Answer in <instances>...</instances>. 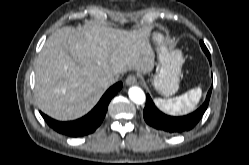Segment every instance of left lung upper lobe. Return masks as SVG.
<instances>
[{
	"label": "left lung upper lobe",
	"mask_w": 249,
	"mask_h": 165,
	"mask_svg": "<svg viewBox=\"0 0 249 165\" xmlns=\"http://www.w3.org/2000/svg\"><path fill=\"white\" fill-rule=\"evenodd\" d=\"M200 45H201L202 50L205 52L206 56L208 57V59L209 58L211 59L210 53L208 49L206 48L205 44L203 43V41H200Z\"/></svg>",
	"instance_id": "left-lung-upper-lobe-1"
}]
</instances>
